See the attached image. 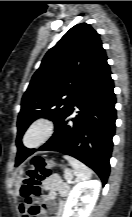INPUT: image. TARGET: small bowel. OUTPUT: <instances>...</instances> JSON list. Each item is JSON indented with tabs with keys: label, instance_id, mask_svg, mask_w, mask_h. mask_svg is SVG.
<instances>
[{
	"label": "small bowel",
	"instance_id": "obj_1",
	"mask_svg": "<svg viewBox=\"0 0 132 217\" xmlns=\"http://www.w3.org/2000/svg\"><path fill=\"white\" fill-rule=\"evenodd\" d=\"M43 187L47 191V194L41 199L40 213L37 217H46L48 213L53 214L52 217H61L64 209V202L60 201L55 203L57 195L66 197L69 194L70 188L58 174L49 175L43 181ZM37 201L34 199H26L25 203L20 206V211L23 217H29V209L35 205Z\"/></svg>",
	"mask_w": 132,
	"mask_h": 217
}]
</instances>
